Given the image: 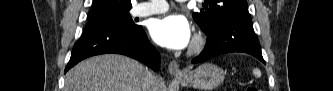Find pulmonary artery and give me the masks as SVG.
I'll use <instances>...</instances> for the list:
<instances>
[{
	"label": "pulmonary artery",
	"instance_id": "obj_1",
	"mask_svg": "<svg viewBox=\"0 0 333 91\" xmlns=\"http://www.w3.org/2000/svg\"><path fill=\"white\" fill-rule=\"evenodd\" d=\"M169 6L165 0H151L143 2L134 8L137 16H150L166 12Z\"/></svg>",
	"mask_w": 333,
	"mask_h": 91
}]
</instances>
